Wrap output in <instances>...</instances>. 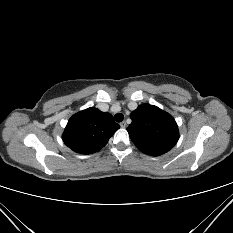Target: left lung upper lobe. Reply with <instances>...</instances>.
<instances>
[{
	"instance_id": "1",
	"label": "left lung upper lobe",
	"mask_w": 233,
	"mask_h": 233,
	"mask_svg": "<svg viewBox=\"0 0 233 233\" xmlns=\"http://www.w3.org/2000/svg\"><path fill=\"white\" fill-rule=\"evenodd\" d=\"M132 123L127 128L136 147L143 153L159 156L168 152L179 139L174 118L160 108L142 104L130 114Z\"/></svg>"
}]
</instances>
